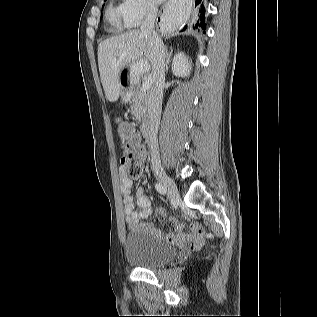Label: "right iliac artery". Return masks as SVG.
I'll use <instances>...</instances> for the list:
<instances>
[{"instance_id":"82829eb1","label":"right iliac artery","mask_w":317,"mask_h":317,"mask_svg":"<svg viewBox=\"0 0 317 317\" xmlns=\"http://www.w3.org/2000/svg\"><path fill=\"white\" fill-rule=\"evenodd\" d=\"M155 188H156V190H157L161 195H165L166 192H167V189L165 188V186H163V185L160 184V183H156V184H155Z\"/></svg>"}]
</instances>
